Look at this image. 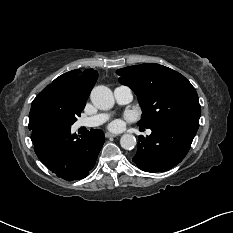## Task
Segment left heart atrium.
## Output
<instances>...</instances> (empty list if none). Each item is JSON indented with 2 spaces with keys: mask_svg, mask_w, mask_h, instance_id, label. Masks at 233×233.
Listing matches in <instances>:
<instances>
[{
  "mask_svg": "<svg viewBox=\"0 0 233 233\" xmlns=\"http://www.w3.org/2000/svg\"><path fill=\"white\" fill-rule=\"evenodd\" d=\"M120 126H121V123H120V121H118V120H115V121H113V122L110 124V128H111V129H119Z\"/></svg>",
  "mask_w": 233,
  "mask_h": 233,
  "instance_id": "39dd6f15",
  "label": "left heart atrium"
}]
</instances>
